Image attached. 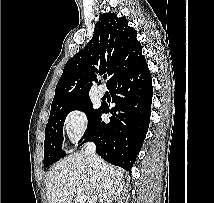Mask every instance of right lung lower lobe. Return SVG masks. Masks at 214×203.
Wrapping results in <instances>:
<instances>
[{"label": "right lung lower lobe", "instance_id": "98d812e1", "mask_svg": "<svg viewBox=\"0 0 214 203\" xmlns=\"http://www.w3.org/2000/svg\"><path fill=\"white\" fill-rule=\"evenodd\" d=\"M109 90L115 107L101 105L84 142H94L104 160L131 171L150 123L152 80L147 63L115 80ZM103 113L112 114L109 123L102 121Z\"/></svg>", "mask_w": 214, "mask_h": 203}]
</instances>
